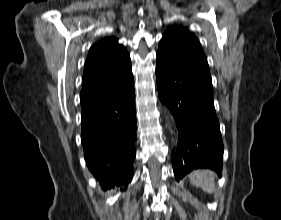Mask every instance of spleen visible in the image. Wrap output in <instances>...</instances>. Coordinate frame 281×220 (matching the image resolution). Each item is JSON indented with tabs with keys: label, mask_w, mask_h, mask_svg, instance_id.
<instances>
[{
	"label": "spleen",
	"mask_w": 281,
	"mask_h": 220,
	"mask_svg": "<svg viewBox=\"0 0 281 220\" xmlns=\"http://www.w3.org/2000/svg\"><path fill=\"white\" fill-rule=\"evenodd\" d=\"M190 182L208 193L216 191L214 174L210 170H196L189 175Z\"/></svg>",
	"instance_id": "3e777b00"
}]
</instances>
